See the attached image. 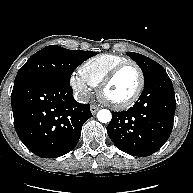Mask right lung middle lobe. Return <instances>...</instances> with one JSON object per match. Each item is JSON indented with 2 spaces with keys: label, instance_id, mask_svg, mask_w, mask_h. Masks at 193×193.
Instances as JSON below:
<instances>
[{
  "label": "right lung middle lobe",
  "instance_id": "obj_1",
  "mask_svg": "<svg viewBox=\"0 0 193 193\" xmlns=\"http://www.w3.org/2000/svg\"><path fill=\"white\" fill-rule=\"evenodd\" d=\"M96 54L92 51L68 50L50 45L28 59L18 71L14 84L31 78H45L70 85L73 71Z\"/></svg>",
  "mask_w": 193,
  "mask_h": 193
}]
</instances>
